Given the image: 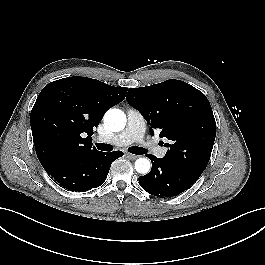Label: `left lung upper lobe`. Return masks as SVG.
I'll use <instances>...</instances> for the list:
<instances>
[{"mask_svg":"<svg viewBox=\"0 0 265 265\" xmlns=\"http://www.w3.org/2000/svg\"><path fill=\"white\" fill-rule=\"evenodd\" d=\"M129 104L137 109L160 137L171 144L163 160L197 176L205 170L216 137V122L207 97L175 79L141 88H129Z\"/></svg>","mask_w":265,"mask_h":265,"instance_id":"left-lung-upper-lobe-1","label":"left lung upper lobe"}]
</instances>
